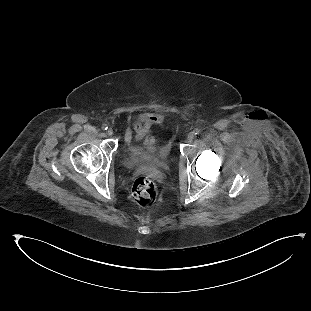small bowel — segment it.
Returning <instances> with one entry per match:
<instances>
[{
    "mask_svg": "<svg viewBox=\"0 0 311 311\" xmlns=\"http://www.w3.org/2000/svg\"><path fill=\"white\" fill-rule=\"evenodd\" d=\"M159 127V117L149 113L138 115L132 121V129L136 139H142L149 134L153 128Z\"/></svg>",
    "mask_w": 311,
    "mask_h": 311,
    "instance_id": "1",
    "label": "small bowel"
}]
</instances>
